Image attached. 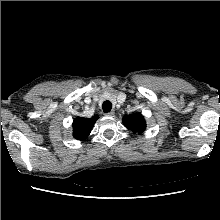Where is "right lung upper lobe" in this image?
<instances>
[{
  "label": "right lung upper lobe",
  "instance_id": "obj_1",
  "mask_svg": "<svg viewBox=\"0 0 220 220\" xmlns=\"http://www.w3.org/2000/svg\"><path fill=\"white\" fill-rule=\"evenodd\" d=\"M98 118V115H95L92 118L77 117L73 122L74 138L78 140L86 139Z\"/></svg>",
  "mask_w": 220,
  "mask_h": 220
}]
</instances>
